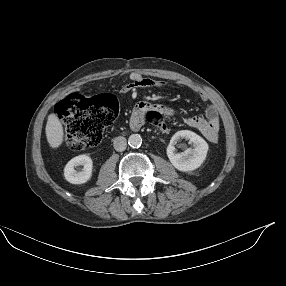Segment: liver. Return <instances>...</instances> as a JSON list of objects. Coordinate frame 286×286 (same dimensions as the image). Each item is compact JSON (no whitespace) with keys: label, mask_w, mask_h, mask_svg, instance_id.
I'll return each instance as SVG.
<instances>
[{"label":"liver","mask_w":286,"mask_h":286,"mask_svg":"<svg viewBox=\"0 0 286 286\" xmlns=\"http://www.w3.org/2000/svg\"><path fill=\"white\" fill-rule=\"evenodd\" d=\"M46 138L51 148H58L63 142V127L57 115L52 113L48 116L46 124Z\"/></svg>","instance_id":"1"}]
</instances>
